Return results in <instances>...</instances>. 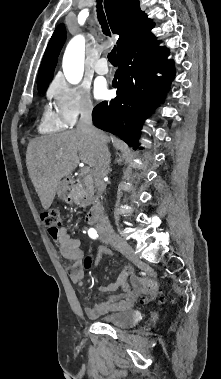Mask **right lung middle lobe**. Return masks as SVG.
<instances>
[{"label":"right lung middle lobe","mask_w":221,"mask_h":379,"mask_svg":"<svg viewBox=\"0 0 221 379\" xmlns=\"http://www.w3.org/2000/svg\"><path fill=\"white\" fill-rule=\"evenodd\" d=\"M47 86L38 88L40 94H44L46 92Z\"/></svg>","instance_id":"right-lung-middle-lobe-1"}]
</instances>
